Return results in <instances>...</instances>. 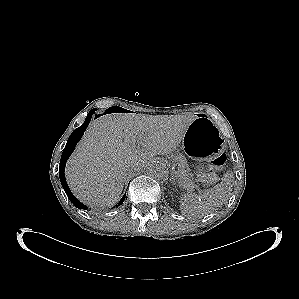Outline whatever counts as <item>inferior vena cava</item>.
<instances>
[{"mask_svg":"<svg viewBox=\"0 0 299 299\" xmlns=\"http://www.w3.org/2000/svg\"><path fill=\"white\" fill-rule=\"evenodd\" d=\"M134 170H136V168L134 166H131L130 171L133 172Z\"/></svg>","mask_w":299,"mask_h":299,"instance_id":"obj_1","label":"inferior vena cava"}]
</instances>
